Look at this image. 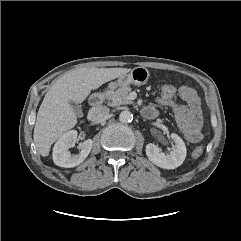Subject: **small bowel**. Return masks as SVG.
Listing matches in <instances>:
<instances>
[{
    "mask_svg": "<svg viewBox=\"0 0 241 241\" xmlns=\"http://www.w3.org/2000/svg\"><path fill=\"white\" fill-rule=\"evenodd\" d=\"M177 92L181 102L174 99L166 101L161 97L158 98V102L174 111L177 124L185 139L190 144H197L203 136V116L199 96L193 88L186 85L180 86ZM147 108L154 110L157 114L154 107L149 106Z\"/></svg>",
    "mask_w": 241,
    "mask_h": 241,
    "instance_id": "small-bowel-1",
    "label": "small bowel"
}]
</instances>
